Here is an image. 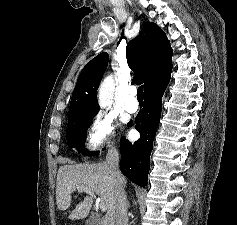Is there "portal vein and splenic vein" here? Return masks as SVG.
I'll use <instances>...</instances> for the list:
<instances>
[{"label":"portal vein and splenic vein","instance_id":"18ae733b","mask_svg":"<svg viewBox=\"0 0 237 225\" xmlns=\"http://www.w3.org/2000/svg\"><path fill=\"white\" fill-rule=\"evenodd\" d=\"M77 190L79 192H86L87 194H89L91 197L93 198H96V195L94 194V192H92V190H90L89 188L87 187H84V186H79L77 187ZM96 205L98 206V208H100V210L102 212H105L107 211V206L101 201V200H96Z\"/></svg>","mask_w":237,"mask_h":225}]
</instances>
